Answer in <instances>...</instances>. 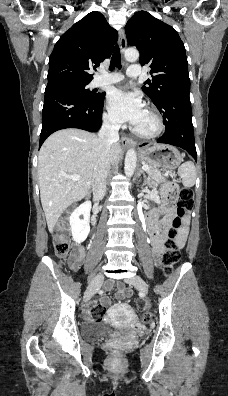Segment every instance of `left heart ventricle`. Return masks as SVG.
<instances>
[{
  "mask_svg": "<svg viewBox=\"0 0 228 396\" xmlns=\"http://www.w3.org/2000/svg\"><path fill=\"white\" fill-rule=\"evenodd\" d=\"M144 133L152 132L156 128L154 118L145 110L140 122L135 126Z\"/></svg>",
  "mask_w": 228,
  "mask_h": 396,
  "instance_id": "1",
  "label": "left heart ventricle"
}]
</instances>
